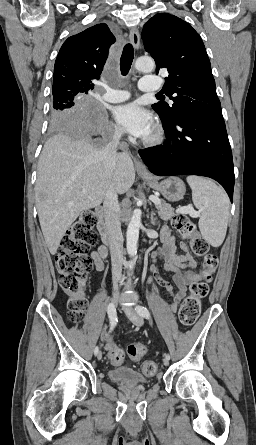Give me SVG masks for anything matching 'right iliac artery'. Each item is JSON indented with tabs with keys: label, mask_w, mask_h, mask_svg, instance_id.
<instances>
[{
	"label": "right iliac artery",
	"mask_w": 256,
	"mask_h": 445,
	"mask_svg": "<svg viewBox=\"0 0 256 445\" xmlns=\"http://www.w3.org/2000/svg\"><path fill=\"white\" fill-rule=\"evenodd\" d=\"M107 311H108V316H109L110 324H111L109 332H111L117 322L116 311H115V308L112 307L111 304H109ZM98 353H99V348H98V346H96L94 349V354L97 355Z\"/></svg>",
	"instance_id": "right-iliac-artery-1"
}]
</instances>
